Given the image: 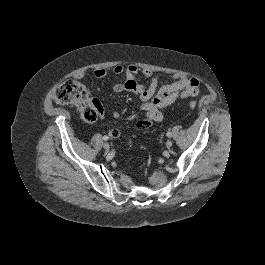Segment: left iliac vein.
I'll list each match as a JSON object with an SVG mask.
<instances>
[{"label":"left iliac vein","instance_id":"1","mask_svg":"<svg viewBox=\"0 0 265 265\" xmlns=\"http://www.w3.org/2000/svg\"><path fill=\"white\" fill-rule=\"evenodd\" d=\"M172 145H173V142H172L171 140H167V142H166V147H167V148H171Z\"/></svg>","mask_w":265,"mask_h":265}]
</instances>
